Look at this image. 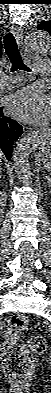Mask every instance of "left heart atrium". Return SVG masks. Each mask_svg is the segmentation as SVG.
Segmentation results:
<instances>
[{
	"mask_svg": "<svg viewBox=\"0 0 51 393\" xmlns=\"http://www.w3.org/2000/svg\"><path fill=\"white\" fill-rule=\"evenodd\" d=\"M10 113L26 122L43 123L50 117L49 99L34 87L24 88L10 96Z\"/></svg>",
	"mask_w": 51,
	"mask_h": 393,
	"instance_id": "left-heart-atrium-1",
	"label": "left heart atrium"
}]
</instances>
